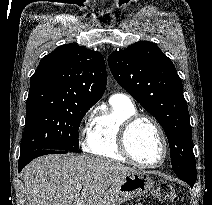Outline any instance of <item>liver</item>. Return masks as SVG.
Returning <instances> with one entry per match:
<instances>
[{"label":"liver","instance_id":"6515ba94","mask_svg":"<svg viewBox=\"0 0 212 205\" xmlns=\"http://www.w3.org/2000/svg\"><path fill=\"white\" fill-rule=\"evenodd\" d=\"M131 171L87 155L43 156L24 169L27 205H96L113 182Z\"/></svg>","mask_w":212,"mask_h":205}]
</instances>
